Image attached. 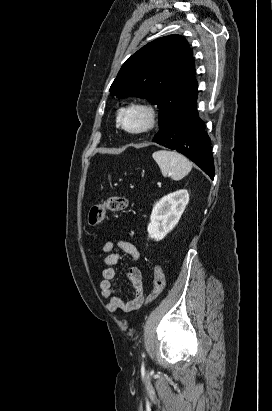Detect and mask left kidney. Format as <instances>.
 <instances>
[{
	"label": "left kidney",
	"mask_w": 272,
	"mask_h": 411,
	"mask_svg": "<svg viewBox=\"0 0 272 411\" xmlns=\"http://www.w3.org/2000/svg\"><path fill=\"white\" fill-rule=\"evenodd\" d=\"M188 202L187 190H178L161 198L153 207L148 236L156 241L162 240L178 224Z\"/></svg>",
	"instance_id": "5707ae66"
}]
</instances>
